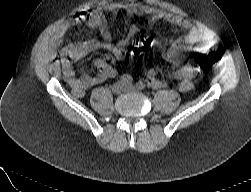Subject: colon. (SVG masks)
Returning a JSON list of instances; mask_svg holds the SVG:
<instances>
[{
  "label": "colon",
  "instance_id": "1",
  "mask_svg": "<svg viewBox=\"0 0 251 192\" xmlns=\"http://www.w3.org/2000/svg\"><path fill=\"white\" fill-rule=\"evenodd\" d=\"M150 43L148 40L139 39L133 42L126 51V56L131 59L141 60L150 55ZM220 60L217 53H211L199 58L198 66L202 71L211 70Z\"/></svg>",
  "mask_w": 251,
  "mask_h": 192
}]
</instances>
